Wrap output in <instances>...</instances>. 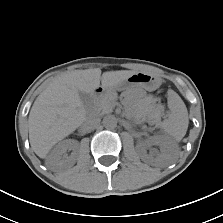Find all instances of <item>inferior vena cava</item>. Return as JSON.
<instances>
[{"label": "inferior vena cava", "instance_id": "1", "mask_svg": "<svg viewBox=\"0 0 223 223\" xmlns=\"http://www.w3.org/2000/svg\"><path fill=\"white\" fill-rule=\"evenodd\" d=\"M100 118L96 116L88 117L84 122V127L86 129H95L100 125Z\"/></svg>", "mask_w": 223, "mask_h": 223}]
</instances>
